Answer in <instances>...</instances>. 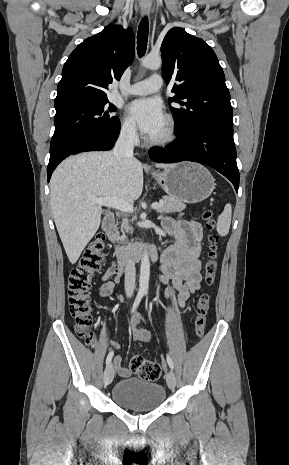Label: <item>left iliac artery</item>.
<instances>
[{
  "instance_id": "obj_1",
  "label": "left iliac artery",
  "mask_w": 289,
  "mask_h": 465,
  "mask_svg": "<svg viewBox=\"0 0 289 465\" xmlns=\"http://www.w3.org/2000/svg\"><path fill=\"white\" fill-rule=\"evenodd\" d=\"M167 362H168L169 367L171 369H173L174 368V363H173L172 358L169 355H167Z\"/></svg>"
}]
</instances>
